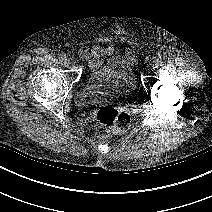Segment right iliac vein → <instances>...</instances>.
<instances>
[{
    "label": "right iliac vein",
    "mask_w": 212,
    "mask_h": 212,
    "mask_svg": "<svg viewBox=\"0 0 212 212\" xmlns=\"http://www.w3.org/2000/svg\"><path fill=\"white\" fill-rule=\"evenodd\" d=\"M63 63H64L65 66H69V65L71 64V61H70V59L65 58V59L63 60Z\"/></svg>",
    "instance_id": "1"
}]
</instances>
